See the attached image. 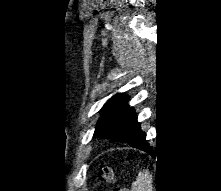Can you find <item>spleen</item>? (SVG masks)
<instances>
[{
  "mask_svg": "<svg viewBox=\"0 0 221 191\" xmlns=\"http://www.w3.org/2000/svg\"><path fill=\"white\" fill-rule=\"evenodd\" d=\"M153 176L148 169L143 170L138 174L135 182L132 184V191H152Z\"/></svg>",
  "mask_w": 221,
  "mask_h": 191,
  "instance_id": "1",
  "label": "spleen"
}]
</instances>
